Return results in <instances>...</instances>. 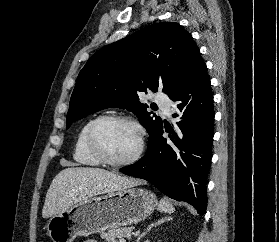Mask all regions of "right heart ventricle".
<instances>
[{
	"mask_svg": "<svg viewBox=\"0 0 279 242\" xmlns=\"http://www.w3.org/2000/svg\"><path fill=\"white\" fill-rule=\"evenodd\" d=\"M94 119H90L84 123L80 131L77 134L74 149H73V159L74 161L86 167H96L102 163L92 154L88 146V131L93 123Z\"/></svg>",
	"mask_w": 279,
	"mask_h": 242,
	"instance_id": "right-heart-ventricle-1",
	"label": "right heart ventricle"
}]
</instances>
